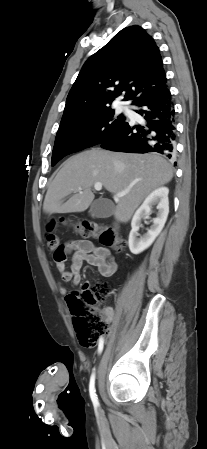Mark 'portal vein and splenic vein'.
<instances>
[{"mask_svg": "<svg viewBox=\"0 0 207 449\" xmlns=\"http://www.w3.org/2000/svg\"><path fill=\"white\" fill-rule=\"evenodd\" d=\"M94 188H95V190H97V191L102 190V183H100V182L95 183V184H94ZM78 191L80 192L81 189H79ZM128 192H129V191H125V192L116 194V195L114 196V200H115V201H118V199H119L120 197L125 196Z\"/></svg>", "mask_w": 207, "mask_h": 449, "instance_id": "18ae733b", "label": "portal vein and splenic vein"}]
</instances>
